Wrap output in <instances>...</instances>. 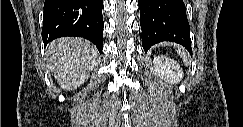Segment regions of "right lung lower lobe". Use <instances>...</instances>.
Returning a JSON list of instances; mask_svg holds the SVG:
<instances>
[{"mask_svg":"<svg viewBox=\"0 0 243 127\" xmlns=\"http://www.w3.org/2000/svg\"><path fill=\"white\" fill-rule=\"evenodd\" d=\"M103 0H45L42 39L45 45L66 36L83 37L103 49Z\"/></svg>","mask_w":243,"mask_h":127,"instance_id":"obj_1","label":"right lung lower lobe"}]
</instances>
